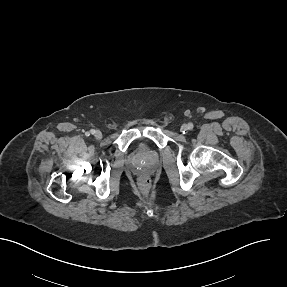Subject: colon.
Wrapping results in <instances>:
<instances>
[{
    "instance_id": "colon-1",
    "label": "colon",
    "mask_w": 287,
    "mask_h": 287,
    "mask_svg": "<svg viewBox=\"0 0 287 287\" xmlns=\"http://www.w3.org/2000/svg\"><path fill=\"white\" fill-rule=\"evenodd\" d=\"M138 186L142 192L148 191L150 187V179L149 177L142 175L138 178Z\"/></svg>"
}]
</instances>
